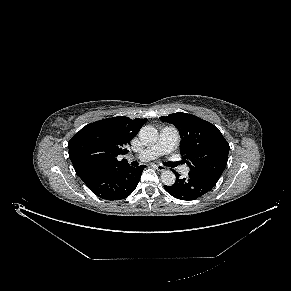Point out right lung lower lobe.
<instances>
[{"mask_svg": "<svg viewBox=\"0 0 291 291\" xmlns=\"http://www.w3.org/2000/svg\"><path fill=\"white\" fill-rule=\"evenodd\" d=\"M145 167L133 168L126 164L117 168H99L80 178L98 197L121 200L135 190Z\"/></svg>", "mask_w": 291, "mask_h": 291, "instance_id": "1", "label": "right lung lower lobe"}]
</instances>
